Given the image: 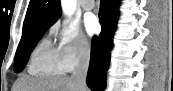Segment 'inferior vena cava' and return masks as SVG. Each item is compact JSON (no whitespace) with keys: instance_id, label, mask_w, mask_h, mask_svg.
<instances>
[{"instance_id":"obj_1","label":"inferior vena cava","mask_w":173,"mask_h":91,"mask_svg":"<svg viewBox=\"0 0 173 91\" xmlns=\"http://www.w3.org/2000/svg\"><path fill=\"white\" fill-rule=\"evenodd\" d=\"M90 60V46L85 45L80 49L79 52V61L75 66V69L71 75V79L74 80L80 91H86V76L89 67Z\"/></svg>"}]
</instances>
